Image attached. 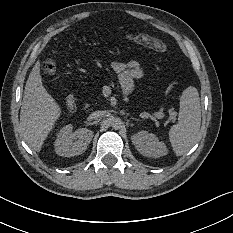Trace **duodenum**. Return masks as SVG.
<instances>
[{"label": "duodenum", "mask_w": 233, "mask_h": 233, "mask_svg": "<svg viewBox=\"0 0 233 233\" xmlns=\"http://www.w3.org/2000/svg\"><path fill=\"white\" fill-rule=\"evenodd\" d=\"M66 105L70 111H75L77 107L76 97L74 94H69L66 98Z\"/></svg>", "instance_id": "obj_1"}]
</instances>
